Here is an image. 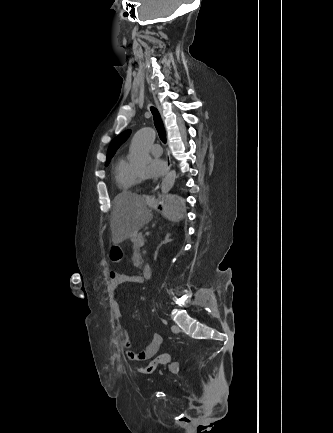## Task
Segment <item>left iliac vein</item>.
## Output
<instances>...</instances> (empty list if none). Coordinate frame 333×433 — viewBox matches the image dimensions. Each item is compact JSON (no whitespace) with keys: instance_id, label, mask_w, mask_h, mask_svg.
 Masks as SVG:
<instances>
[{"instance_id":"1","label":"left iliac vein","mask_w":333,"mask_h":433,"mask_svg":"<svg viewBox=\"0 0 333 433\" xmlns=\"http://www.w3.org/2000/svg\"><path fill=\"white\" fill-rule=\"evenodd\" d=\"M171 330L174 333H179L180 332V328L177 325H172L171 326Z\"/></svg>"}]
</instances>
